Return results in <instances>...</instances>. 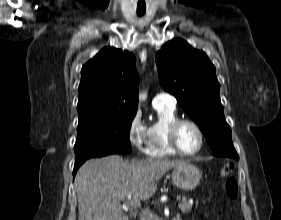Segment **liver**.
<instances>
[{"label":"liver","mask_w":281,"mask_h":220,"mask_svg":"<svg viewBox=\"0 0 281 220\" xmlns=\"http://www.w3.org/2000/svg\"><path fill=\"white\" fill-rule=\"evenodd\" d=\"M185 163L169 159L128 162L119 155L86 161L75 177L79 220H128L121 201L128 195L139 201L151 198L157 181Z\"/></svg>","instance_id":"liver-1"}]
</instances>
